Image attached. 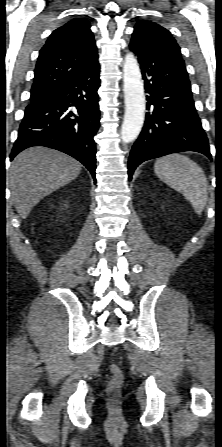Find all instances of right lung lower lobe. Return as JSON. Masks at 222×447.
Here are the masks:
<instances>
[{"label": "right lung lower lobe", "mask_w": 222, "mask_h": 447, "mask_svg": "<svg viewBox=\"0 0 222 447\" xmlns=\"http://www.w3.org/2000/svg\"><path fill=\"white\" fill-rule=\"evenodd\" d=\"M99 72L97 61L48 97L31 102L25 109L10 159L28 147L45 146L76 158L96 180L93 137L100 119Z\"/></svg>", "instance_id": "obj_1"}]
</instances>
